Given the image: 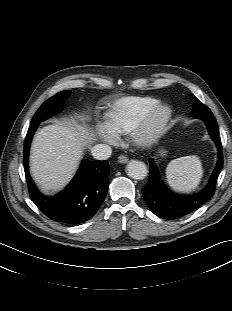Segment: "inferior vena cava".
<instances>
[{
	"label": "inferior vena cava",
	"instance_id": "1",
	"mask_svg": "<svg viewBox=\"0 0 232 311\" xmlns=\"http://www.w3.org/2000/svg\"><path fill=\"white\" fill-rule=\"evenodd\" d=\"M91 153L97 160H106L111 156L112 148L106 144H97L92 147Z\"/></svg>",
	"mask_w": 232,
	"mask_h": 311
}]
</instances>
